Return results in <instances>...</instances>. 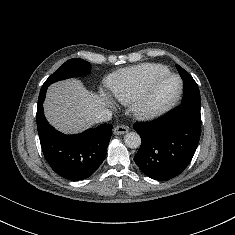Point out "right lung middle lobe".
I'll return each mask as SVG.
<instances>
[{
    "label": "right lung middle lobe",
    "mask_w": 235,
    "mask_h": 235,
    "mask_svg": "<svg viewBox=\"0 0 235 235\" xmlns=\"http://www.w3.org/2000/svg\"><path fill=\"white\" fill-rule=\"evenodd\" d=\"M91 71L90 63L79 58L66 61L56 72H54L43 84L48 87L59 80H64L74 76L86 75Z\"/></svg>",
    "instance_id": "obj_1"
}]
</instances>
